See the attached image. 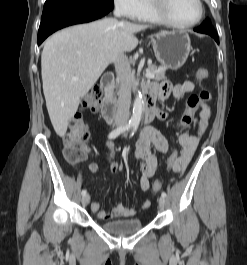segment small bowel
Masks as SVG:
<instances>
[{"mask_svg": "<svg viewBox=\"0 0 247 265\" xmlns=\"http://www.w3.org/2000/svg\"><path fill=\"white\" fill-rule=\"evenodd\" d=\"M147 87L156 92V98L160 101H165L170 97L181 98L194 90V84L191 81H184L176 85L165 81L160 84L153 83ZM200 108L201 111L194 121L193 131L191 133L181 134L178 139L182 149L175 164L174 172L179 175H181L188 166L199 140L208 126L210 108L206 103L202 104ZM155 116L161 120H165L167 118V113L159 107H156ZM107 146L109 149V168L112 172H116L118 170V163L113 160L114 144L112 142H107ZM152 146L162 154L166 155L169 152V144L166 137L159 130L153 127H146L140 133L134 152V157L140 160L138 184L142 191H149L151 189L150 179L155 175L157 169L158 162L151 152ZM88 169L91 173H96L98 171V165L95 162H90ZM149 205L150 202L146 200L143 202L141 209H147ZM91 210L103 221L121 217H133L137 214V210L128 208L122 204H117L110 212H107L100 210L99 203L93 202L91 204Z\"/></svg>", "mask_w": 247, "mask_h": 265, "instance_id": "obj_1", "label": "small bowel"}]
</instances>
